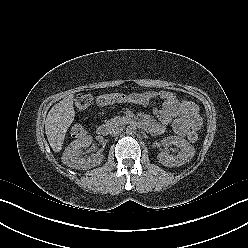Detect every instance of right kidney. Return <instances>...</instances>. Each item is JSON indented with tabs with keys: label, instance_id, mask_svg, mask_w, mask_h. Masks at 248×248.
Segmentation results:
<instances>
[{
	"label": "right kidney",
	"instance_id": "right-kidney-1",
	"mask_svg": "<svg viewBox=\"0 0 248 248\" xmlns=\"http://www.w3.org/2000/svg\"><path fill=\"white\" fill-rule=\"evenodd\" d=\"M91 136L81 137L71 142L62 155V162L74 169L87 170L99 165L104 155L101 152L93 153L88 158L82 157V148L92 143Z\"/></svg>",
	"mask_w": 248,
	"mask_h": 248
}]
</instances>
